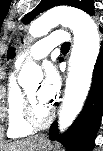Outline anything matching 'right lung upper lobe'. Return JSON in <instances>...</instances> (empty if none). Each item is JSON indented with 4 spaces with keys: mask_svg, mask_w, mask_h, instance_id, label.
Instances as JSON below:
<instances>
[{
    "mask_svg": "<svg viewBox=\"0 0 103 151\" xmlns=\"http://www.w3.org/2000/svg\"><path fill=\"white\" fill-rule=\"evenodd\" d=\"M7 54L10 58H13L15 56L14 49L9 48Z\"/></svg>",
    "mask_w": 103,
    "mask_h": 151,
    "instance_id": "1",
    "label": "right lung upper lobe"
}]
</instances>
